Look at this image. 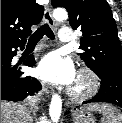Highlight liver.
Listing matches in <instances>:
<instances>
[{
    "label": "liver",
    "mask_w": 122,
    "mask_h": 123,
    "mask_svg": "<svg viewBox=\"0 0 122 123\" xmlns=\"http://www.w3.org/2000/svg\"><path fill=\"white\" fill-rule=\"evenodd\" d=\"M27 108L14 102L1 101V123H30Z\"/></svg>",
    "instance_id": "liver-1"
}]
</instances>
